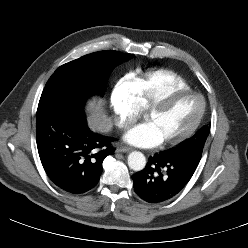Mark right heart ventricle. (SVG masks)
Here are the masks:
<instances>
[{
	"mask_svg": "<svg viewBox=\"0 0 248 248\" xmlns=\"http://www.w3.org/2000/svg\"><path fill=\"white\" fill-rule=\"evenodd\" d=\"M142 109L154 100L173 90H191L190 85L170 70H157L141 76L132 75L125 81Z\"/></svg>",
	"mask_w": 248,
	"mask_h": 248,
	"instance_id": "e07e8e85",
	"label": "right heart ventricle"
}]
</instances>
